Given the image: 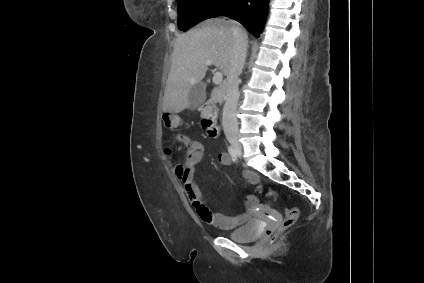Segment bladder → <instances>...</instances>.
Returning <instances> with one entry per match:
<instances>
[{"instance_id":"bladder-1","label":"bladder","mask_w":424,"mask_h":283,"mask_svg":"<svg viewBox=\"0 0 424 283\" xmlns=\"http://www.w3.org/2000/svg\"><path fill=\"white\" fill-rule=\"evenodd\" d=\"M261 222L258 219H252L240 228L230 232L228 237L238 243H247L255 240L261 233Z\"/></svg>"}]
</instances>
